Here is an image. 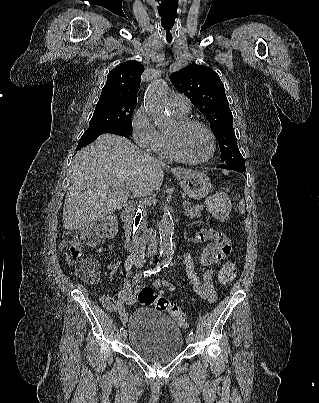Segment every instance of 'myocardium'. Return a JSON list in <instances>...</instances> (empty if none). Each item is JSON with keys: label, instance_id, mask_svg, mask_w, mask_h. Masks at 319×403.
Returning <instances> with one entry per match:
<instances>
[{"label": "myocardium", "instance_id": "myocardium-1", "mask_svg": "<svg viewBox=\"0 0 319 403\" xmlns=\"http://www.w3.org/2000/svg\"><path fill=\"white\" fill-rule=\"evenodd\" d=\"M176 124H177V129L179 131L185 130L192 126H199L202 129H204L209 136L210 143H211V150H210V153L208 154V156L201 160L190 159V158L186 157L180 150L176 137L174 135L167 134L171 152H172L174 158L183 163L192 164V165H201V164H205V163L209 162L214 157L215 152H216V139H215V135H214L213 131L211 130V128L206 123H204L200 120H197V119H192V118L178 119Z\"/></svg>", "mask_w": 319, "mask_h": 403}]
</instances>
